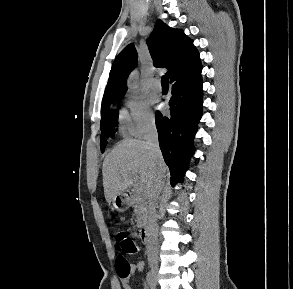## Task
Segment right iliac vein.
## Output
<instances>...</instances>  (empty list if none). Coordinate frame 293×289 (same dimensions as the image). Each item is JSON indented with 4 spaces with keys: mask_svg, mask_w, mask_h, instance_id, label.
Instances as JSON below:
<instances>
[{
    "mask_svg": "<svg viewBox=\"0 0 293 289\" xmlns=\"http://www.w3.org/2000/svg\"><path fill=\"white\" fill-rule=\"evenodd\" d=\"M157 269H158V267L156 265H152L151 276H152V281H153V287H156L157 281H158Z\"/></svg>",
    "mask_w": 293,
    "mask_h": 289,
    "instance_id": "obj_1",
    "label": "right iliac vein"
}]
</instances>
